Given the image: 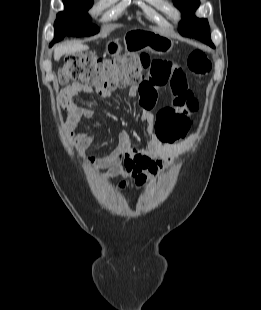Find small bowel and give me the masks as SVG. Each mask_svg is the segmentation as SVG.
<instances>
[{"label": "small bowel", "instance_id": "c3829d8e", "mask_svg": "<svg viewBox=\"0 0 261 310\" xmlns=\"http://www.w3.org/2000/svg\"><path fill=\"white\" fill-rule=\"evenodd\" d=\"M164 87L171 89L173 102L154 114L151 109L157 92ZM92 92L93 89L89 86L71 85L62 93L63 98L71 105L66 121L67 128L70 136L76 138V147L80 153H83L96 134L93 131L77 134L75 129L82 120L92 118L94 112L90 108L75 106L74 102L79 94ZM98 94L102 98H109L112 92L98 91ZM130 95L139 96L144 107L141 120L147 124L150 137L147 147L134 148L129 133L122 131L116 149L109 155L87 157L94 172L105 169L101 180L123 177L124 181L119 184L120 190H124L128 185L144 187L161 170L174 163L189 144L190 139H181L186 136L192 124V115L198 110V102L188 87L183 68L167 59L154 60L149 78L142 85L132 87Z\"/></svg>", "mask_w": 261, "mask_h": 310}]
</instances>
